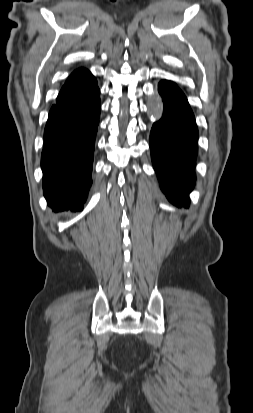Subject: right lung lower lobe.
<instances>
[{
    "label": "right lung lower lobe",
    "mask_w": 253,
    "mask_h": 413,
    "mask_svg": "<svg viewBox=\"0 0 253 413\" xmlns=\"http://www.w3.org/2000/svg\"><path fill=\"white\" fill-rule=\"evenodd\" d=\"M95 84L50 109L41 155L43 190L55 211H81L92 184L94 144L100 117Z\"/></svg>",
    "instance_id": "1"
}]
</instances>
